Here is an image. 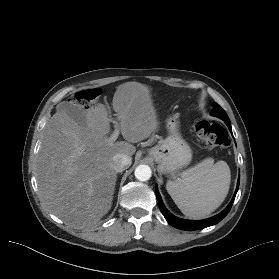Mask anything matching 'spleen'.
I'll return each mask as SVG.
<instances>
[{"mask_svg": "<svg viewBox=\"0 0 279 279\" xmlns=\"http://www.w3.org/2000/svg\"><path fill=\"white\" fill-rule=\"evenodd\" d=\"M231 181L228 164L206 158L183 171L180 178L169 180L166 189L181 212L192 219H202L225 200Z\"/></svg>", "mask_w": 279, "mask_h": 279, "instance_id": "3e777b00", "label": "spleen"}]
</instances>
